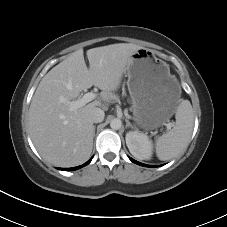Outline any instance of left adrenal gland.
Instances as JSON below:
<instances>
[{"mask_svg": "<svg viewBox=\"0 0 227 227\" xmlns=\"http://www.w3.org/2000/svg\"><path fill=\"white\" fill-rule=\"evenodd\" d=\"M125 121H126V128H127V127L134 128V126L129 122L128 119H126Z\"/></svg>", "mask_w": 227, "mask_h": 227, "instance_id": "a2214340", "label": "left adrenal gland"}]
</instances>
